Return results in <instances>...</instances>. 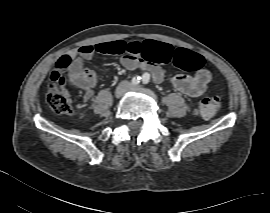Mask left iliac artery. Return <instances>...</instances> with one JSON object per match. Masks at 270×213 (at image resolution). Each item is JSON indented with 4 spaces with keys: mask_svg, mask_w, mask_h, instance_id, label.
I'll use <instances>...</instances> for the list:
<instances>
[{
    "mask_svg": "<svg viewBox=\"0 0 270 213\" xmlns=\"http://www.w3.org/2000/svg\"><path fill=\"white\" fill-rule=\"evenodd\" d=\"M150 81V74L149 73H144L142 76V82L143 84H148Z\"/></svg>",
    "mask_w": 270,
    "mask_h": 213,
    "instance_id": "1",
    "label": "left iliac artery"
}]
</instances>
